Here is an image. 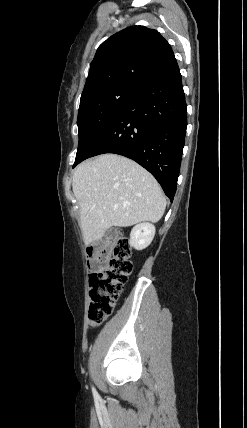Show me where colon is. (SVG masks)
Here are the masks:
<instances>
[{"instance_id": "5ec220e1", "label": "colon", "mask_w": 247, "mask_h": 428, "mask_svg": "<svg viewBox=\"0 0 247 428\" xmlns=\"http://www.w3.org/2000/svg\"><path fill=\"white\" fill-rule=\"evenodd\" d=\"M92 254L96 271L90 275L89 321L98 325L112 313L133 265L129 241L118 233L110 234L109 242Z\"/></svg>"}]
</instances>
